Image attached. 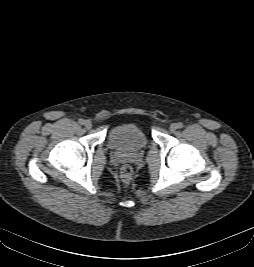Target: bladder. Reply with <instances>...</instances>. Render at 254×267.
<instances>
[{
    "mask_svg": "<svg viewBox=\"0 0 254 267\" xmlns=\"http://www.w3.org/2000/svg\"><path fill=\"white\" fill-rule=\"evenodd\" d=\"M109 146L120 152H138L146 148L148 138L145 132L134 123H121L108 133Z\"/></svg>",
    "mask_w": 254,
    "mask_h": 267,
    "instance_id": "bladder-1",
    "label": "bladder"
}]
</instances>
